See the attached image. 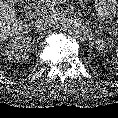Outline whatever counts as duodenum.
<instances>
[{
  "label": "duodenum",
  "instance_id": "410a0bca",
  "mask_svg": "<svg viewBox=\"0 0 118 118\" xmlns=\"http://www.w3.org/2000/svg\"><path fill=\"white\" fill-rule=\"evenodd\" d=\"M28 2H33V1H35V0H27Z\"/></svg>",
  "mask_w": 118,
  "mask_h": 118
}]
</instances>
